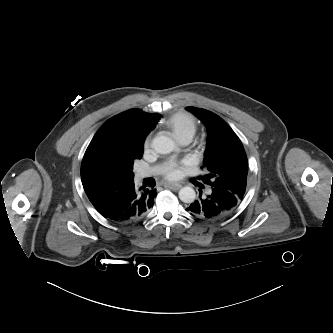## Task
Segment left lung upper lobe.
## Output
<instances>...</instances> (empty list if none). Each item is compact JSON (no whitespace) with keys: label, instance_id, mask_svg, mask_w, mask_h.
Here are the masks:
<instances>
[{"label":"left lung upper lobe","instance_id":"obj_1","mask_svg":"<svg viewBox=\"0 0 333 333\" xmlns=\"http://www.w3.org/2000/svg\"><path fill=\"white\" fill-rule=\"evenodd\" d=\"M186 109L208 130L202 167L208 174L202 177L204 183L230 191L240 203L246 192L248 174L247 156L240 139L218 115L192 106Z\"/></svg>","mask_w":333,"mask_h":333}]
</instances>
